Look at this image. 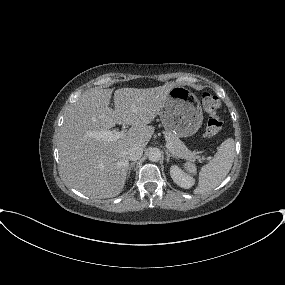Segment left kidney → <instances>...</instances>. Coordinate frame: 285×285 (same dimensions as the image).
<instances>
[{"instance_id":"5707ae66","label":"left kidney","mask_w":285,"mask_h":285,"mask_svg":"<svg viewBox=\"0 0 285 285\" xmlns=\"http://www.w3.org/2000/svg\"><path fill=\"white\" fill-rule=\"evenodd\" d=\"M170 175L173 181L184 189L191 188L195 183L194 179L184 173L177 165L171 166Z\"/></svg>"}]
</instances>
